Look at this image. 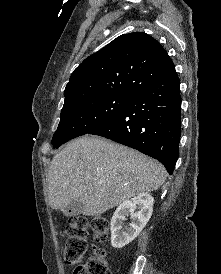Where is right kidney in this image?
Masks as SVG:
<instances>
[{
    "label": "right kidney",
    "instance_id": "1",
    "mask_svg": "<svg viewBox=\"0 0 221 274\" xmlns=\"http://www.w3.org/2000/svg\"><path fill=\"white\" fill-rule=\"evenodd\" d=\"M154 198L147 192L140 193L130 200L122 202L111 219V245L123 248L132 242L145 227L153 212ZM130 214L132 222L126 231H122L123 221Z\"/></svg>",
    "mask_w": 221,
    "mask_h": 274
}]
</instances>
